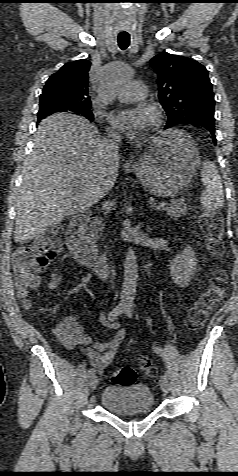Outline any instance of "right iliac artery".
<instances>
[{
  "label": "right iliac artery",
  "instance_id": "obj_1",
  "mask_svg": "<svg viewBox=\"0 0 238 476\" xmlns=\"http://www.w3.org/2000/svg\"><path fill=\"white\" fill-rule=\"evenodd\" d=\"M125 305L118 304L108 315L109 321H114L119 315H121L125 311ZM95 374V370L91 368L88 371V376L91 377Z\"/></svg>",
  "mask_w": 238,
  "mask_h": 476
}]
</instances>
